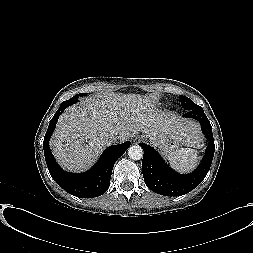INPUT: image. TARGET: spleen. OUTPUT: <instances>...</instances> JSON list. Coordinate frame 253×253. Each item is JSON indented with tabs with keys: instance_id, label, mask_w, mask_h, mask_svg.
Returning a JSON list of instances; mask_svg holds the SVG:
<instances>
[{
	"instance_id": "spleen-1",
	"label": "spleen",
	"mask_w": 253,
	"mask_h": 253,
	"mask_svg": "<svg viewBox=\"0 0 253 253\" xmlns=\"http://www.w3.org/2000/svg\"><path fill=\"white\" fill-rule=\"evenodd\" d=\"M168 160L171 167L177 171L182 173L189 172L198 163L197 151L190 148H178L168 155Z\"/></svg>"
}]
</instances>
